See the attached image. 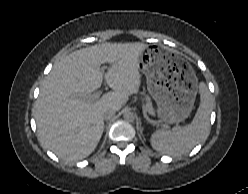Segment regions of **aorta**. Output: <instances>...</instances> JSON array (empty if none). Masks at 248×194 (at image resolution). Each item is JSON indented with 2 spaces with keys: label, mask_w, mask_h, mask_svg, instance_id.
<instances>
[{
  "label": "aorta",
  "mask_w": 248,
  "mask_h": 194,
  "mask_svg": "<svg viewBox=\"0 0 248 194\" xmlns=\"http://www.w3.org/2000/svg\"><path fill=\"white\" fill-rule=\"evenodd\" d=\"M123 117H124V120H125V121H128V122H132V121H134V119H135V115H134V113L131 112V111H126V112L124 113Z\"/></svg>",
  "instance_id": "1"
}]
</instances>
